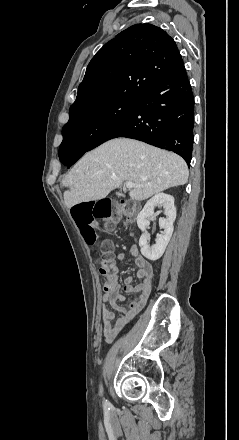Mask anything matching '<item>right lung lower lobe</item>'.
I'll use <instances>...</instances> for the list:
<instances>
[{
  "instance_id": "right-lung-lower-lobe-1",
  "label": "right lung lower lobe",
  "mask_w": 239,
  "mask_h": 440,
  "mask_svg": "<svg viewBox=\"0 0 239 440\" xmlns=\"http://www.w3.org/2000/svg\"><path fill=\"white\" fill-rule=\"evenodd\" d=\"M194 98L182 59L154 83L128 114L98 135L86 149L68 147L59 152L68 168L83 154L103 142L127 137L180 155L190 166L193 148Z\"/></svg>"
}]
</instances>
